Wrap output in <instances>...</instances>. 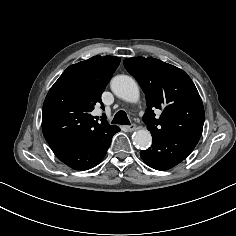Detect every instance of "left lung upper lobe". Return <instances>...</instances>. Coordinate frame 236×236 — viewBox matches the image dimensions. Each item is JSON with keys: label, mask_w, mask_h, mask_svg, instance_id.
I'll list each match as a JSON object with an SVG mask.
<instances>
[{"label": "left lung upper lobe", "mask_w": 236, "mask_h": 236, "mask_svg": "<svg viewBox=\"0 0 236 236\" xmlns=\"http://www.w3.org/2000/svg\"><path fill=\"white\" fill-rule=\"evenodd\" d=\"M124 66L145 93L147 109L143 121L152 137H201L205 119L203 103L183 70L144 57L125 59ZM154 109L162 110L160 118H155Z\"/></svg>", "instance_id": "1"}]
</instances>
